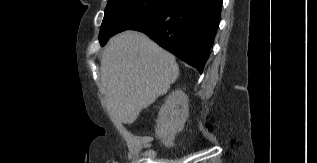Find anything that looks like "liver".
Segmentation results:
<instances>
[{
	"mask_svg": "<svg viewBox=\"0 0 317 163\" xmlns=\"http://www.w3.org/2000/svg\"><path fill=\"white\" fill-rule=\"evenodd\" d=\"M100 63V89L114 124H132L179 75L175 57L137 31L113 37Z\"/></svg>",
	"mask_w": 317,
	"mask_h": 163,
	"instance_id": "liver-1",
	"label": "liver"
}]
</instances>
